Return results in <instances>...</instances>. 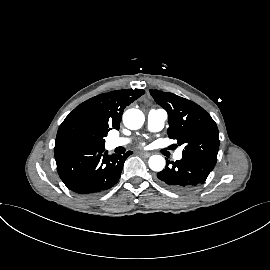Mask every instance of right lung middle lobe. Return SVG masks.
<instances>
[{
	"label": "right lung middle lobe",
	"instance_id": "dd1d6c3e",
	"mask_svg": "<svg viewBox=\"0 0 270 270\" xmlns=\"http://www.w3.org/2000/svg\"><path fill=\"white\" fill-rule=\"evenodd\" d=\"M106 134L80 121L60 125L54 149L69 147H104Z\"/></svg>",
	"mask_w": 270,
	"mask_h": 270
}]
</instances>
